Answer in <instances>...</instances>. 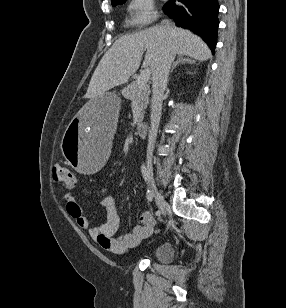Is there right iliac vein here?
Listing matches in <instances>:
<instances>
[{
  "mask_svg": "<svg viewBox=\"0 0 286 308\" xmlns=\"http://www.w3.org/2000/svg\"><path fill=\"white\" fill-rule=\"evenodd\" d=\"M147 171L149 173L150 183H151V186H152V189H153V193H154V196H155L156 203H157L159 209L161 210L162 214L165 216L166 213L168 212L169 207H168V204L163 201L160 194L158 193V190H157V187H156V182H155L154 177H153L152 162H151L150 157L147 161Z\"/></svg>",
  "mask_w": 286,
  "mask_h": 308,
  "instance_id": "right-iliac-vein-1",
  "label": "right iliac vein"
}]
</instances>
